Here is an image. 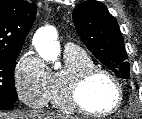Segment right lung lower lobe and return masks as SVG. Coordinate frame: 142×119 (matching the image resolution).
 Listing matches in <instances>:
<instances>
[{"instance_id":"98d812e1","label":"right lung lower lobe","mask_w":142,"mask_h":119,"mask_svg":"<svg viewBox=\"0 0 142 119\" xmlns=\"http://www.w3.org/2000/svg\"><path fill=\"white\" fill-rule=\"evenodd\" d=\"M14 103L0 102V110L9 109Z\"/></svg>"}]
</instances>
